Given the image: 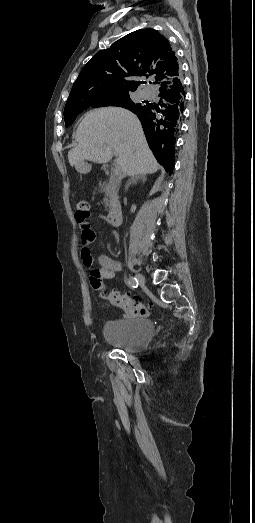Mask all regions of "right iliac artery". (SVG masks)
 Wrapping results in <instances>:
<instances>
[{
  "label": "right iliac artery",
  "instance_id": "1",
  "mask_svg": "<svg viewBox=\"0 0 255 523\" xmlns=\"http://www.w3.org/2000/svg\"><path fill=\"white\" fill-rule=\"evenodd\" d=\"M127 284H128L130 287H132V288H137L139 283H138L137 278H135V277H129V278L127 279Z\"/></svg>",
  "mask_w": 255,
  "mask_h": 523
}]
</instances>
